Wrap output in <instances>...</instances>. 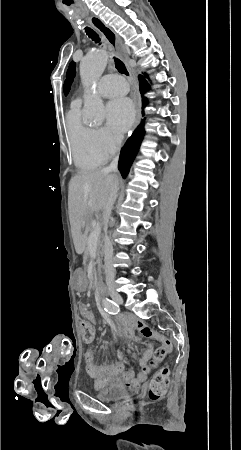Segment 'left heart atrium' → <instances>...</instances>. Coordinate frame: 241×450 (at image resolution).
Wrapping results in <instances>:
<instances>
[{
    "label": "left heart atrium",
    "mask_w": 241,
    "mask_h": 450,
    "mask_svg": "<svg viewBox=\"0 0 241 450\" xmlns=\"http://www.w3.org/2000/svg\"><path fill=\"white\" fill-rule=\"evenodd\" d=\"M107 112L108 126L117 134L127 131L135 119L134 105L127 97H120L117 102H110Z\"/></svg>",
    "instance_id": "1"
}]
</instances>
